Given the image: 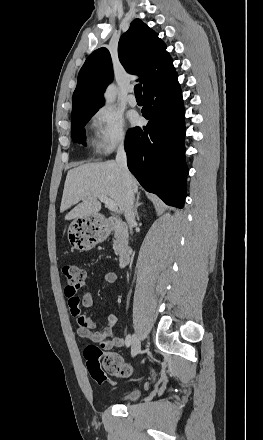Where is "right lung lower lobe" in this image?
I'll use <instances>...</instances> for the list:
<instances>
[{
    "label": "right lung lower lobe",
    "mask_w": 263,
    "mask_h": 440,
    "mask_svg": "<svg viewBox=\"0 0 263 440\" xmlns=\"http://www.w3.org/2000/svg\"><path fill=\"white\" fill-rule=\"evenodd\" d=\"M148 124L128 131V168L145 190L182 208L186 197L185 135L182 92L174 71L143 91Z\"/></svg>",
    "instance_id": "obj_1"
}]
</instances>
